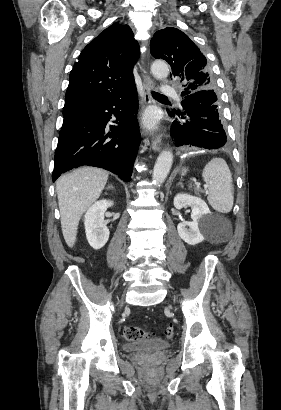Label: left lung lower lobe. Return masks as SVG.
<instances>
[{"mask_svg": "<svg viewBox=\"0 0 281 410\" xmlns=\"http://www.w3.org/2000/svg\"><path fill=\"white\" fill-rule=\"evenodd\" d=\"M218 98L214 90H200L182 97L184 112L176 114L182 122L174 121L170 130L177 146L192 145L206 149H218L225 145L227 137L220 120Z\"/></svg>", "mask_w": 281, "mask_h": 410, "instance_id": "left-lung-lower-lobe-1", "label": "left lung lower lobe"}]
</instances>
